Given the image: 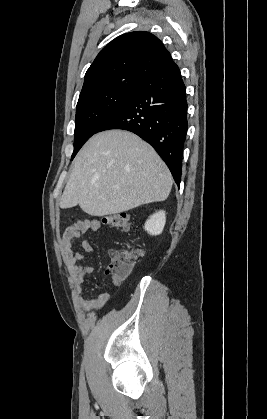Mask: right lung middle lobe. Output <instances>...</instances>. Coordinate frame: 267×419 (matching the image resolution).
Returning <instances> with one entry per match:
<instances>
[{"label":"right lung middle lobe","instance_id":"obj_1","mask_svg":"<svg viewBox=\"0 0 267 419\" xmlns=\"http://www.w3.org/2000/svg\"><path fill=\"white\" fill-rule=\"evenodd\" d=\"M140 85H129L96 93L78 101L74 131V152L105 125L137 92Z\"/></svg>","mask_w":267,"mask_h":419}]
</instances>
